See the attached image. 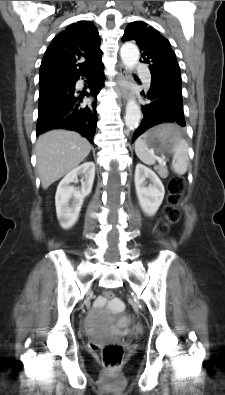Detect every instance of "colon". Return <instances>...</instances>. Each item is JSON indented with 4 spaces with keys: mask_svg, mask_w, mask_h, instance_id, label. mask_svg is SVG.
I'll return each mask as SVG.
<instances>
[{
    "mask_svg": "<svg viewBox=\"0 0 225 395\" xmlns=\"http://www.w3.org/2000/svg\"><path fill=\"white\" fill-rule=\"evenodd\" d=\"M185 189V181L181 177H174L168 183V204L164 208L163 219L157 224L158 233H166L170 225L179 221L180 214L177 205L180 202ZM104 296L110 301L113 298L111 289H104ZM93 348L100 354L103 364L110 369L117 368L124 356L125 346L119 340H112L102 343H94Z\"/></svg>",
    "mask_w": 225,
    "mask_h": 395,
    "instance_id": "5ec220e1",
    "label": "colon"
}]
</instances>
